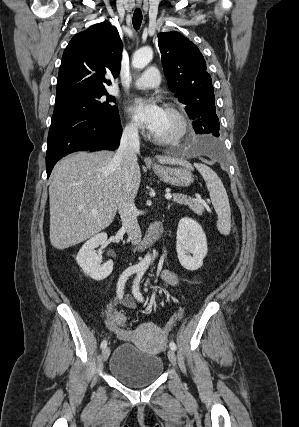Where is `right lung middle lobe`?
<instances>
[{
  "label": "right lung middle lobe",
  "instance_id": "obj_1",
  "mask_svg": "<svg viewBox=\"0 0 299 427\" xmlns=\"http://www.w3.org/2000/svg\"><path fill=\"white\" fill-rule=\"evenodd\" d=\"M111 102H115V98L109 96L107 91L79 94L56 101L51 123L75 116L119 122L117 107Z\"/></svg>",
  "mask_w": 299,
  "mask_h": 427
}]
</instances>
